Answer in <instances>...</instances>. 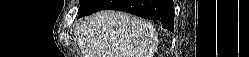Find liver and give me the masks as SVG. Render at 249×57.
<instances>
[{
    "instance_id": "6515ba94",
    "label": "liver",
    "mask_w": 249,
    "mask_h": 57,
    "mask_svg": "<svg viewBox=\"0 0 249 57\" xmlns=\"http://www.w3.org/2000/svg\"><path fill=\"white\" fill-rule=\"evenodd\" d=\"M77 35L84 57H152L158 43L150 22L110 10L80 20Z\"/></svg>"
}]
</instances>
